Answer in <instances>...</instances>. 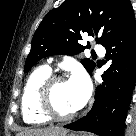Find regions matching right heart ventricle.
<instances>
[{
  "mask_svg": "<svg viewBox=\"0 0 136 136\" xmlns=\"http://www.w3.org/2000/svg\"><path fill=\"white\" fill-rule=\"evenodd\" d=\"M51 75L47 66L35 69L27 78L21 96V110L23 120L28 124H44L49 121L38 105L40 89L45 80Z\"/></svg>",
  "mask_w": 136,
  "mask_h": 136,
  "instance_id": "1",
  "label": "right heart ventricle"
}]
</instances>
